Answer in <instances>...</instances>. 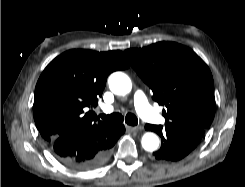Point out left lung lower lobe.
I'll use <instances>...</instances> for the list:
<instances>
[{
  "label": "left lung lower lobe",
  "instance_id": "1",
  "mask_svg": "<svg viewBox=\"0 0 245 187\" xmlns=\"http://www.w3.org/2000/svg\"><path fill=\"white\" fill-rule=\"evenodd\" d=\"M145 129L154 131L161 137V148L154 152L158 160L179 161L187 156L199 144L204 130L201 128L185 127L172 128L169 126L146 124Z\"/></svg>",
  "mask_w": 245,
  "mask_h": 187
}]
</instances>
